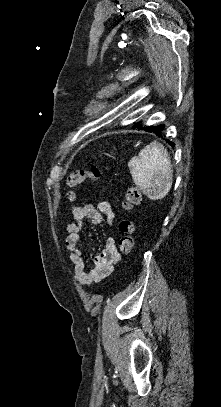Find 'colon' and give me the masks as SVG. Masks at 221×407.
<instances>
[{
	"label": "colon",
	"mask_w": 221,
	"mask_h": 407,
	"mask_svg": "<svg viewBox=\"0 0 221 407\" xmlns=\"http://www.w3.org/2000/svg\"><path fill=\"white\" fill-rule=\"evenodd\" d=\"M102 171L98 166H91L89 169H78L74 171L68 177L67 184L70 188H74L82 184L85 180L98 181L101 179ZM68 198L70 200L75 198V194L70 191L68 193ZM141 201V193L137 187L130 186L126 189L125 198L123 201V208L125 211H129L133 206H136ZM119 230L121 236L118 241L119 252L123 256H129L133 251L134 246V223L127 216L121 218L119 222ZM111 260L119 261V258H112Z\"/></svg>",
	"instance_id": "1"
}]
</instances>
